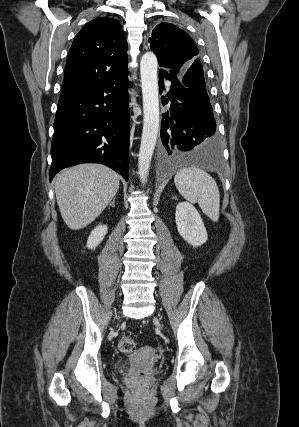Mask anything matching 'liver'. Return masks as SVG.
Masks as SVG:
<instances>
[{"instance_id": "obj_1", "label": "liver", "mask_w": 299, "mask_h": 427, "mask_svg": "<svg viewBox=\"0 0 299 427\" xmlns=\"http://www.w3.org/2000/svg\"><path fill=\"white\" fill-rule=\"evenodd\" d=\"M61 216L72 230L94 221L119 189V176L101 164H80L60 172L54 179Z\"/></svg>"}]
</instances>
